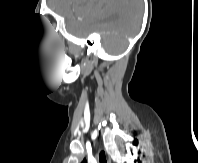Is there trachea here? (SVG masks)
Returning <instances> with one entry per match:
<instances>
[{
    "mask_svg": "<svg viewBox=\"0 0 198 163\" xmlns=\"http://www.w3.org/2000/svg\"><path fill=\"white\" fill-rule=\"evenodd\" d=\"M99 161H100V163H107L106 156L103 151L100 152V154H99Z\"/></svg>",
    "mask_w": 198,
    "mask_h": 163,
    "instance_id": "trachea-1",
    "label": "trachea"
}]
</instances>
